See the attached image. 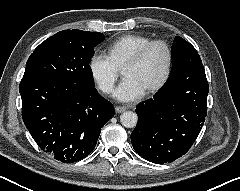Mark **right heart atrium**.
<instances>
[{"label": "right heart atrium", "instance_id": "d8ad5b80", "mask_svg": "<svg viewBox=\"0 0 240 191\" xmlns=\"http://www.w3.org/2000/svg\"><path fill=\"white\" fill-rule=\"evenodd\" d=\"M91 78L98 88L105 94H110L119 75V68L108 55L94 53L88 63Z\"/></svg>", "mask_w": 240, "mask_h": 191}]
</instances>
